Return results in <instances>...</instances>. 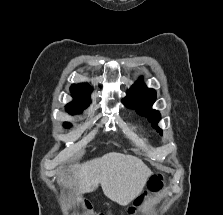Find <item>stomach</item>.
<instances>
[{
  "label": "stomach",
  "instance_id": "obj_1",
  "mask_svg": "<svg viewBox=\"0 0 223 215\" xmlns=\"http://www.w3.org/2000/svg\"><path fill=\"white\" fill-rule=\"evenodd\" d=\"M149 179H152V177H149ZM154 187H146V189H143V190H151V193L153 191Z\"/></svg>",
  "mask_w": 223,
  "mask_h": 215
}]
</instances>
